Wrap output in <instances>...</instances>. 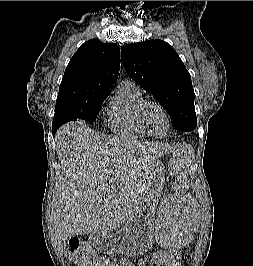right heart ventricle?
Returning <instances> with one entry per match:
<instances>
[{
  "label": "right heart ventricle",
  "instance_id": "right-heart-ventricle-1",
  "mask_svg": "<svg viewBox=\"0 0 253 266\" xmlns=\"http://www.w3.org/2000/svg\"><path fill=\"white\" fill-rule=\"evenodd\" d=\"M145 101L142 91L132 82L124 81L116 89L107 109L109 128L130 139H145L149 135L140 127L138 110Z\"/></svg>",
  "mask_w": 253,
  "mask_h": 266
}]
</instances>
